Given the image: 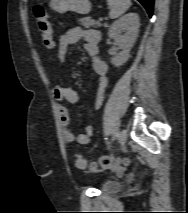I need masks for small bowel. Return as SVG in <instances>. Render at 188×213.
<instances>
[{
	"mask_svg": "<svg viewBox=\"0 0 188 213\" xmlns=\"http://www.w3.org/2000/svg\"><path fill=\"white\" fill-rule=\"evenodd\" d=\"M100 33L94 29H86L81 27H75L68 30L60 38L57 56L62 64L66 63V55L70 46L76 44L79 41L84 42L85 50L87 51L91 59V68L98 80V90L95 99V108H101L105 90L108 84L107 71L108 67L105 61L99 58V42ZM54 98L57 101V109L60 115L61 125L63 129V136L68 143L88 144L94 133L92 125L85 127L84 132L81 134H75L71 128V118L68 108L64 102L70 104H76L80 101V95L70 87L58 85L54 88Z\"/></svg>",
	"mask_w": 188,
	"mask_h": 213,
	"instance_id": "1",
	"label": "small bowel"
}]
</instances>
